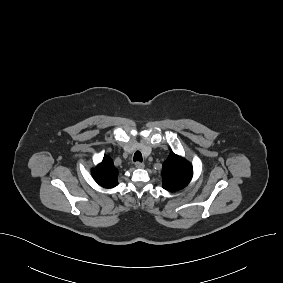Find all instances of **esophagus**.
<instances>
[{"mask_svg": "<svg viewBox=\"0 0 283 283\" xmlns=\"http://www.w3.org/2000/svg\"><path fill=\"white\" fill-rule=\"evenodd\" d=\"M135 167L138 168V169H142V168H144V163L138 161V162L135 163Z\"/></svg>", "mask_w": 283, "mask_h": 283, "instance_id": "1", "label": "esophagus"}]
</instances>
